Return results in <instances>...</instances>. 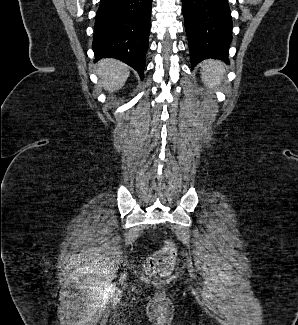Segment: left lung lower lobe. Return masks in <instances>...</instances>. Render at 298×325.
I'll return each mask as SVG.
<instances>
[{"label":"left lung lower lobe","instance_id":"1","mask_svg":"<svg viewBox=\"0 0 298 325\" xmlns=\"http://www.w3.org/2000/svg\"><path fill=\"white\" fill-rule=\"evenodd\" d=\"M192 66L207 58L228 61L232 19L228 0H182Z\"/></svg>","mask_w":298,"mask_h":325}]
</instances>
